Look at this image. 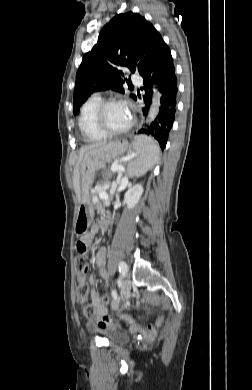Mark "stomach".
<instances>
[{"instance_id":"0dacf381","label":"stomach","mask_w":252,"mask_h":390,"mask_svg":"<svg viewBox=\"0 0 252 390\" xmlns=\"http://www.w3.org/2000/svg\"><path fill=\"white\" fill-rule=\"evenodd\" d=\"M125 150V144L117 142L89 150L85 153L80 166L81 203L75 220V230L78 233L85 231L94 218V205L90 198L89 189L93 183L96 171L105 168L107 163H110Z\"/></svg>"}]
</instances>
